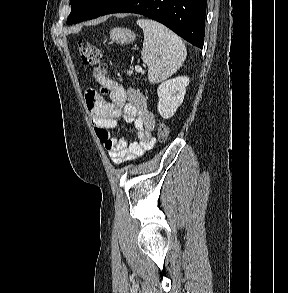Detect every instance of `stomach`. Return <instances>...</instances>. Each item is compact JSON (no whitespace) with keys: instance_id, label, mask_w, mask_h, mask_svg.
I'll use <instances>...</instances> for the list:
<instances>
[{"instance_id":"obj_1","label":"stomach","mask_w":288,"mask_h":293,"mask_svg":"<svg viewBox=\"0 0 288 293\" xmlns=\"http://www.w3.org/2000/svg\"><path fill=\"white\" fill-rule=\"evenodd\" d=\"M110 38L113 42H116V43L129 44V43H133V41L136 38V35L130 29L116 27L111 30Z\"/></svg>"}]
</instances>
